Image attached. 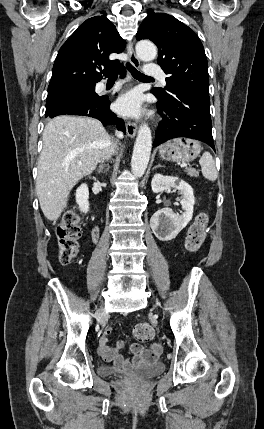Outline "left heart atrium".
Segmentation results:
<instances>
[{"label":"left heart atrium","mask_w":264,"mask_h":429,"mask_svg":"<svg viewBox=\"0 0 264 429\" xmlns=\"http://www.w3.org/2000/svg\"><path fill=\"white\" fill-rule=\"evenodd\" d=\"M115 110L123 116H138L142 110L140 94L132 91L120 96L115 103Z\"/></svg>","instance_id":"1"}]
</instances>
